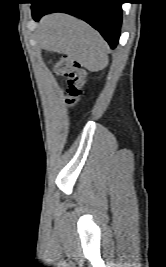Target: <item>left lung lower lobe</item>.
Listing matches in <instances>:
<instances>
[{
    "label": "left lung lower lobe",
    "mask_w": 166,
    "mask_h": 267,
    "mask_svg": "<svg viewBox=\"0 0 166 267\" xmlns=\"http://www.w3.org/2000/svg\"><path fill=\"white\" fill-rule=\"evenodd\" d=\"M124 0H32L34 20L52 12H66L80 17L98 30L110 47L119 41Z\"/></svg>",
    "instance_id": "left-lung-lower-lobe-1"
}]
</instances>
